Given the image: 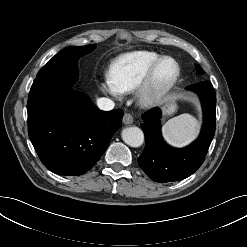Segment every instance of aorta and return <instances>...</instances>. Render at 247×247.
Instances as JSON below:
<instances>
[{"label": "aorta", "mask_w": 247, "mask_h": 247, "mask_svg": "<svg viewBox=\"0 0 247 247\" xmlns=\"http://www.w3.org/2000/svg\"><path fill=\"white\" fill-rule=\"evenodd\" d=\"M121 136L123 141L131 147H140L144 142V133L136 126L123 129Z\"/></svg>", "instance_id": "obj_1"}]
</instances>
